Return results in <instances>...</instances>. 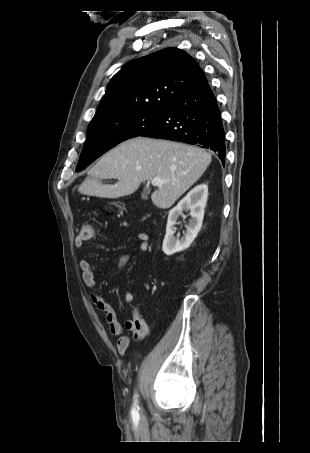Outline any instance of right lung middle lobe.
<instances>
[{
    "label": "right lung middle lobe",
    "instance_id": "1",
    "mask_svg": "<svg viewBox=\"0 0 310 453\" xmlns=\"http://www.w3.org/2000/svg\"><path fill=\"white\" fill-rule=\"evenodd\" d=\"M162 114L163 110L121 112L91 121L76 171L82 170L120 142L139 136Z\"/></svg>",
    "mask_w": 310,
    "mask_h": 453
}]
</instances>
